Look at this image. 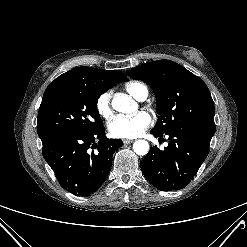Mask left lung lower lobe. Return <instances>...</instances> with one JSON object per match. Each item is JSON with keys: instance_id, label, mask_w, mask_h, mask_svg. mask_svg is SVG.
Instances as JSON below:
<instances>
[{"instance_id": "0a47b994", "label": "left lung lower lobe", "mask_w": 247, "mask_h": 247, "mask_svg": "<svg viewBox=\"0 0 247 247\" xmlns=\"http://www.w3.org/2000/svg\"><path fill=\"white\" fill-rule=\"evenodd\" d=\"M155 137L164 134L151 131ZM169 144L164 150L152 147L140 162L146 179L163 191L184 188L195 176L209 153L211 136L192 129L168 132Z\"/></svg>"}]
</instances>
